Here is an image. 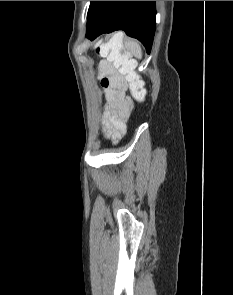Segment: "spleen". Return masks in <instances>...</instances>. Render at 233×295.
Returning a JSON list of instances; mask_svg holds the SVG:
<instances>
[{"mask_svg":"<svg viewBox=\"0 0 233 295\" xmlns=\"http://www.w3.org/2000/svg\"><path fill=\"white\" fill-rule=\"evenodd\" d=\"M122 50H125L122 53ZM101 55L114 63V66H123L130 55L142 58V50L138 42L129 40L123 45V35L115 34L108 43L101 47Z\"/></svg>","mask_w":233,"mask_h":295,"instance_id":"spleen-1","label":"spleen"}]
</instances>
